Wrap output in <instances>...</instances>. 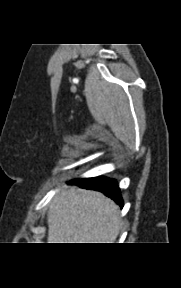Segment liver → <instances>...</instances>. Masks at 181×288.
Returning a JSON list of instances; mask_svg holds the SVG:
<instances>
[{
    "label": "liver",
    "instance_id": "obj_1",
    "mask_svg": "<svg viewBox=\"0 0 181 288\" xmlns=\"http://www.w3.org/2000/svg\"><path fill=\"white\" fill-rule=\"evenodd\" d=\"M47 223L48 243H114L119 207L100 192L71 186L52 200Z\"/></svg>",
    "mask_w": 181,
    "mask_h": 288
}]
</instances>
